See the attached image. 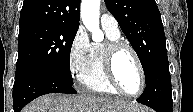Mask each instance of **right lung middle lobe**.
<instances>
[{
    "label": "right lung middle lobe",
    "mask_w": 193,
    "mask_h": 112,
    "mask_svg": "<svg viewBox=\"0 0 193 112\" xmlns=\"http://www.w3.org/2000/svg\"><path fill=\"white\" fill-rule=\"evenodd\" d=\"M78 26L39 24L19 30L15 80L41 72L73 85L69 60Z\"/></svg>",
    "instance_id": "1"
}]
</instances>
